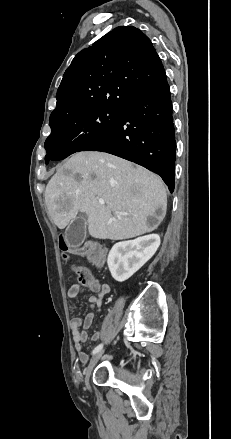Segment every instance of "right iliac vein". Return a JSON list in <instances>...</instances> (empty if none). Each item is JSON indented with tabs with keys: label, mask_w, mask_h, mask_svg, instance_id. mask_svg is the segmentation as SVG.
I'll list each match as a JSON object with an SVG mask.
<instances>
[{
	"label": "right iliac vein",
	"mask_w": 231,
	"mask_h": 439,
	"mask_svg": "<svg viewBox=\"0 0 231 439\" xmlns=\"http://www.w3.org/2000/svg\"><path fill=\"white\" fill-rule=\"evenodd\" d=\"M104 350H100L99 352H97L90 360L87 368L85 369V384L87 386V388H90V384H89V378L90 375L94 369V367L96 366V364L98 363L99 359L101 358L102 354H103Z\"/></svg>",
	"instance_id": "right-iliac-vein-1"
}]
</instances>
